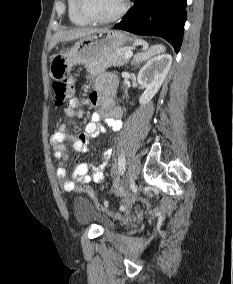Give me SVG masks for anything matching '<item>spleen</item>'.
Masks as SVG:
<instances>
[{"label": "spleen", "instance_id": "spleen-1", "mask_svg": "<svg viewBox=\"0 0 233 284\" xmlns=\"http://www.w3.org/2000/svg\"><path fill=\"white\" fill-rule=\"evenodd\" d=\"M165 51V47L163 45H154L152 46L147 52L142 53V54H138L135 59L138 61H144L146 59H148L149 57L164 52Z\"/></svg>", "mask_w": 233, "mask_h": 284}]
</instances>
